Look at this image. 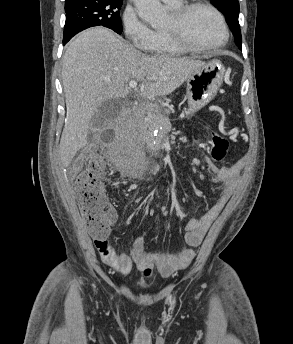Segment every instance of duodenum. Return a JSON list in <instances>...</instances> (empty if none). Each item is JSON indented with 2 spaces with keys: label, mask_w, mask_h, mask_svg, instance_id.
I'll return each instance as SVG.
<instances>
[{
  "label": "duodenum",
  "mask_w": 293,
  "mask_h": 344,
  "mask_svg": "<svg viewBox=\"0 0 293 344\" xmlns=\"http://www.w3.org/2000/svg\"><path fill=\"white\" fill-rule=\"evenodd\" d=\"M132 120L131 116L129 114H124L120 119H119V122L118 124L119 125H122L126 122H130Z\"/></svg>",
  "instance_id": "duodenum-1"
}]
</instances>
